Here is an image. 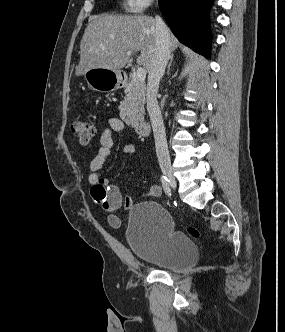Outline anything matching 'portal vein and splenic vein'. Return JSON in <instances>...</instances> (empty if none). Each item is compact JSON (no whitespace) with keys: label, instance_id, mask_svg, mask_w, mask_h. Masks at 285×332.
Instances as JSON below:
<instances>
[{"label":"portal vein and splenic vein","instance_id":"portal-vein-and-splenic-vein-1","mask_svg":"<svg viewBox=\"0 0 285 332\" xmlns=\"http://www.w3.org/2000/svg\"><path fill=\"white\" fill-rule=\"evenodd\" d=\"M128 55H131L132 52H127ZM136 77L140 82H144L146 78V71L143 67H138L136 71Z\"/></svg>","mask_w":285,"mask_h":332}]
</instances>
